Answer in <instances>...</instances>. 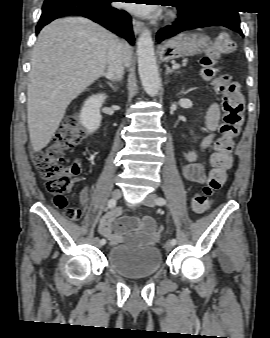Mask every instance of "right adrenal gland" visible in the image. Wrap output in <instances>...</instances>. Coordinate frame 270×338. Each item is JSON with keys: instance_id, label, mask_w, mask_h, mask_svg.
<instances>
[{"instance_id": "obj_1", "label": "right adrenal gland", "mask_w": 270, "mask_h": 338, "mask_svg": "<svg viewBox=\"0 0 270 338\" xmlns=\"http://www.w3.org/2000/svg\"><path fill=\"white\" fill-rule=\"evenodd\" d=\"M105 77L108 78L107 76ZM107 84L112 88L113 91L117 90V87L111 81H107Z\"/></svg>"}]
</instances>
